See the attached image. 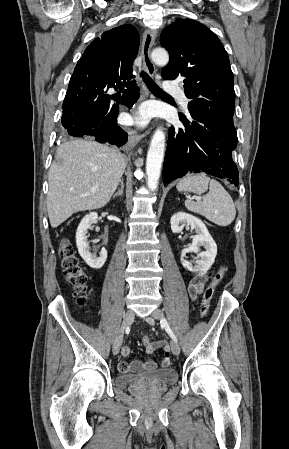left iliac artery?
Segmentation results:
<instances>
[{"instance_id": "1", "label": "left iliac artery", "mask_w": 289, "mask_h": 449, "mask_svg": "<svg viewBox=\"0 0 289 449\" xmlns=\"http://www.w3.org/2000/svg\"><path fill=\"white\" fill-rule=\"evenodd\" d=\"M161 325L165 328V330H166V332L169 334V336H170L174 341L177 342V338H176L175 334L173 333V331L171 330V328H170V326H169V324H168V322H167L166 319H164V318L161 319Z\"/></svg>"}]
</instances>
